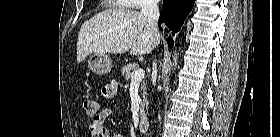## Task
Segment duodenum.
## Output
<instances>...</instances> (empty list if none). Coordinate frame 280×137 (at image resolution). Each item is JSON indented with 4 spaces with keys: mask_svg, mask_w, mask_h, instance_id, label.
I'll return each mask as SVG.
<instances>
[{
    "mask_svg": "<svg viewBox=\"0 0 280 137\" xmlns=\"http://www.w3.org/2000/svg\"><path fill=\"white\" fill-rule=\"evenodd\" d=\"M150 121L147 118L141 119L139 122V130L143 133H147L149 131Z\"/></svg>",
    "mask_w": 280,
    "mask_h": 137,
    "instance_id": "obj_1",
    "label": "duodenum"
}]
</instances>
